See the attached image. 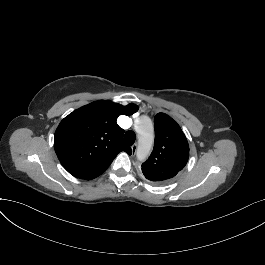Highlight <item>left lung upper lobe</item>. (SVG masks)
Segmentation results:
<instances>
[{
	"label": "left lung upper lobe",
	"instance_id": "obj_1",
	"mask_svg": "<svg viewBox=\"0 0 265 265\" xmlns=\"http://www.w3.org/2000/svg\"><path fill=\"white\" fill-rule=\"evenodd\" d=\"M154 128V148L141 167L148 180L160 185L185 167L189 158V145L180 126L165 113L155 116Z\"/></svg>",
	"mask_w": 265,
	"mask_h": 265
}]
</instances>
